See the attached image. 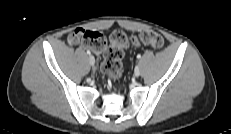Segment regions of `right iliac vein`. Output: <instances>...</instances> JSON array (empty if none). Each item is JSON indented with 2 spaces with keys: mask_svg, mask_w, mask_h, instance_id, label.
Segmentation results:
<instances>
[{
  "mask_svg": "<svg viewBox=\"0 0 231 134\" xmlns=\"http://www.w3.org/2000/svg\"><path fill=\"white\" fill-rule=\"evenodd\" d=\"M88 60H89L90 65L93 66L94 63H95V58H94L92 55H90V56L88 57Z\"/></svg>",
  "mask_w": 231,
  "mask_h": 134,
  "instance_id": "1",
  "label": "right iliac vein"
}]
</instances>
